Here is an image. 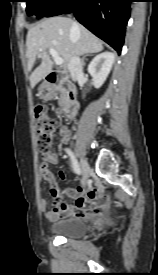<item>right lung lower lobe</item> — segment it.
I'll list each match as a JSON object with an SVG mask.
<instances>
[{
    "label": "right lung lower lobe",
    "mask_w": 158,
    "mask_h": 275,
    "mask_svg": "<svg viewBox=\"0 0 158 275\" xmlns=\"http://www.w3.org/2000/svg\"><path fill=\"white\" fill-rule=\"evenodd\" d=\"M132 0H63L46 17L74 12L76 19L121 53Z\"/></svg>",
    "instance_id": "1"
}]
</instances>
